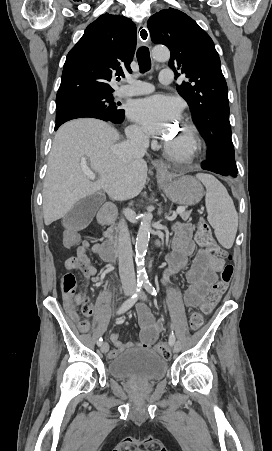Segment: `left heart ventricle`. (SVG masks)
I'll return each mask as SVG.
<instances>
[{
	"mask_svg": "<svg viewBox=\"0 0 272 451\" xmlns=\"http://www.w3.org/2000/svg\"><path fill=\"white\" fill-rule=\"evenodd\" d=\"M186 138H187V134H186L185 130L181 129L180 134H179L177 139L178 140H182L183 142H185Z\"/></svg>",
	"mask_w": 272,
	"mask_h": 451,
	"instance_id": "obj_1",
	"label": "left heart ventricle"
}]
</instances>
